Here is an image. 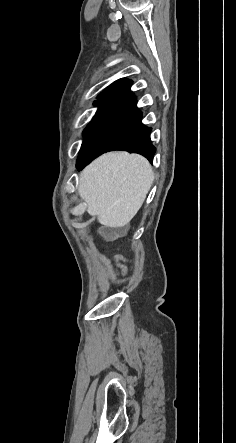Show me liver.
Instances as JSON below:
<instances>
[{
  "label": "liver",
  "mask_w": 236,
  "mask_h": 443,
  "mask_svg": "<svg viewBox=\"0 0 236 443\" xmlns=\"http://www.w3.org/2000/svg\"><path fill=\"white\" fill-rule=\"evenodd\" d=\"M153 180V169L144 157L110 152L81 172L78 193L87 212L102 225L123 227L143 204Z\"/></svg>",
  "instance_id": "6515ba94"
}]
</instances>
